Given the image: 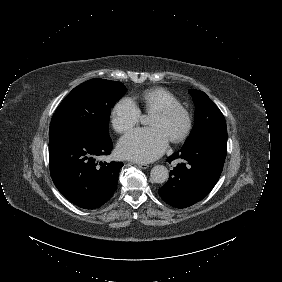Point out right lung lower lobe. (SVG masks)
I'll return each mask as SVG.
<instances>
[{
    "instance_id": "98d812e1",
    "label": "right lung lower lobe",
    "mask_w": 282,
    "mask_h": 282,
    "mask_svg": "<svg viewBox=\"0 0 282 282\" xmlns=\"http://www.w3.org/2000/svg\"><path fill=\"white\" fill-rule=\"evenodd\" d=\"M109 137H96L84 130H73L49 141L50 173L54 184L70 202L84 209L106 203L117 188L122 162L100 163L110 154Z\"/></svg>"
}]
</instances>
